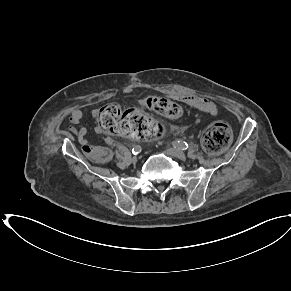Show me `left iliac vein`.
<instances>
[{
	"label": "left iliac vein",
	"mask_w": 291,
	"mask_h": 291,
	"mask_svg": "<svg viewBox=\"0 0 291 291\" xmlns=\"http://www.w3.org/2000/svg\"><path fill=\"white\" fill-rule=\"evenodd\" d=\"M165 153L167 155H170V156H173V157H176V158H179L181 160H184L186 159V155L183 151H181L180 149H177V148H167L165 150Z\"/></svg>",
	"instance_id": "obj_1"
}]
</instances>
